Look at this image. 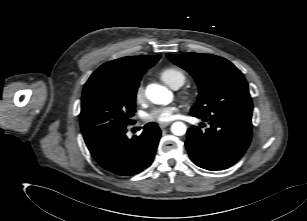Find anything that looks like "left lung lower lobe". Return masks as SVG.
Wrapping results in <instances>:
<instances>
[{
  "instance_id": "0a47b994",
  "label": "left lung lower lobe",
  "mask_w": 307,
  "mask_h": 221,
  "mask_svg": "<svg viewBox=\"0 0 307 221\" xmlns=\"http://www.w3.org/2000/svg\"><path fill=\"white\" fill-rule=\"evenodd\" d=\"M191 115L210 124L205 131L196 126L187 131L185 145L197 166L211 171L223 170L243 156L252 137V112L227 110L208 117Z\"/></svg>"
}]
</instances>
